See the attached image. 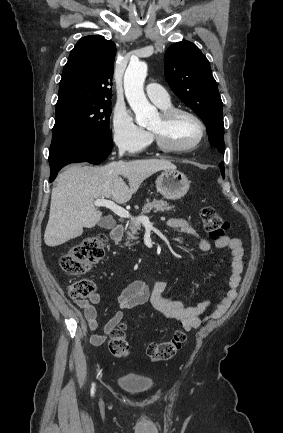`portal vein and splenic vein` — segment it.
Returning <instances> with one entry per match:
<instances>
[{"label":"portal vein and splenic vein","mask_w":283,"mask_h":433,"mask_svg":"<svg viewBox=\"0 0 283 433\" xmlns=\"http://www.w3.org/2000/svg\"><path fill=\"white\" fill-rule=\"evenodd\" d=\"M93 202L94 204H96V206H107V208L113 210L115 214H119V217H121V219H131V221H139V223H142V225H147V223H150L148 217H132V214H130L128 210H125V208H122V206H119V204H115L113 200L96 198V200H93Z\"/></svg>","instance_id":"portal-vein-and-splenic-vein-1"}]
</instances>
